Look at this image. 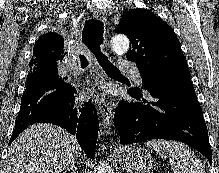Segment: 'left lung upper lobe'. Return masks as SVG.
I'll return each instance as SVG.
<instances>
[{"mask_svg": "<svg viewBox=\"0 0 219 173\" xmlns=\"http://www.w3.org/2000/svg\"><path fill=\"white\" fill-rule=\"evenodd\" d=\"M115 31L129 37L127 59L137 64L145 89L163 91L192 85L177 36L161 18L145 9H133L122 16Z\"/></svg>", "mask_w": 219, "mask_h": 173, "instance_id": "obj_1", "label": "left lung upper lobe"}]
</instances>
